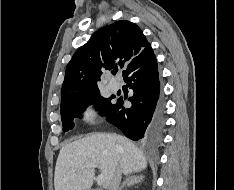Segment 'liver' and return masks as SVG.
Returning <instances> with one entry per match:
<instances>
[{
	"label": "liver",
	"mask_w": 234,
	"mask_h": 190,
	"mask_svg": "<svg viewBox=\"0 0 234 190\" xmlns=\"http://www.w3.org/2000/svg\"><path fill=\"white\" fill-rule=\"evenodd\" d=\"M97 163L107 188L117 168L124 174L139 172L147 167L143 153L126 137L111 133H96L64 145L58 155L55 190H90Z\"/></svg>",
	"instance_id": "6515ba94"
}]
</instances>
